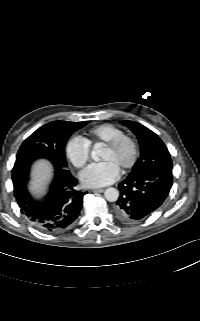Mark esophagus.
<instances>
[{
	"label": "esophagus",
	"instance_id": "1",
	"mask_svg": "<svg viewBox=\"0 0 200 321\" xmlns=\"http://www.w3.org/2000/svg\"><path fill=\"white\" fill-rule=\"evenodd\" d=\"M92 191L95 192V193H102V192L104 191V189H101V188H99V189H92Z\"/></svg>",
	"mask_w": 200,
	"mask_h": 321
}]
</instances>
